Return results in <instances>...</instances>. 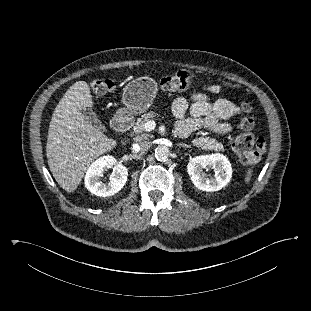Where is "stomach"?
<instances>
[{"label":"stomach","instance_id":"0dacf381","mask_svg":"<svg viewBox=\"0 0 311 311\" xmlns=\"http://www.w3.org/2000/svg\"><path fill=\"white\" fill-rule=\"evenodd\" d=\"M157 83L151 78H138L124 88L122 102L124 108L117 111L118 116L141 114L153 103L157 94Z\"/></svg>","mask_w":311,"mask_h":311}]
</instances>
